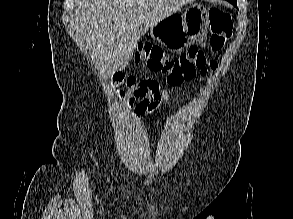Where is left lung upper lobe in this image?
I'll return each instance as SVG.
<instances>
[{
  "instance_id": "5c2ea615",
  "label": "left lung upper lobe",
  "mask_w": 293,
  "mask_h": 219,
  "mask_svg": "<svg viewBox=\"0 0 293 219\" xmlns=\"http://www.w3.org/2000/svg\"><path fill=\"white\" fill-rule=\"evenodd\" d=\"M229 1L230 3H232L234 6H236V0H227Z\"/></svg>"
}]
</instances>
